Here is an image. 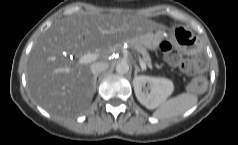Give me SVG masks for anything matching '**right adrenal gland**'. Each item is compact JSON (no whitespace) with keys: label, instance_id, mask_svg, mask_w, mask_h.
I'll use <instances>...</instances> for the list:
<instances>
[{"label":"right adrenal gland","instance_id":"1","mask_svg":"<svg viewBox=\"0 0 238 145\" xmlns=\"http://www.w3.org/2000/svg\"><path fill=\"white\" fill-rule=\"evenodd\" d=\"M97 77H98V75H95V76L93 77V87H94V92L96 91Z\"/></svg>","mask_w":238,"mask_h":145}]
</instances>
